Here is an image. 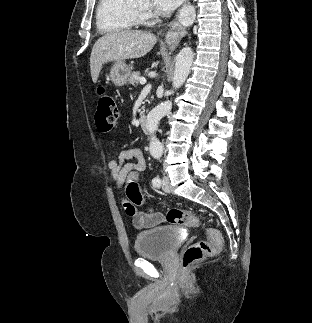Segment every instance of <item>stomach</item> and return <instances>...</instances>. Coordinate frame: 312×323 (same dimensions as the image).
I'll return each mask as SVG.
<instances>
[{
    "label": "stomach",
    "mask_w": 312,
    "mask_h": 323,
    "mask_svg": "<svg viewBox=\"0 0 312 323\" xmlns=\"http://www.w3.org/2000/svg\"><path fill=\"white\" fill-rule=\"evenodd\" d=\"M130 68L124 62H115L110 70V78L115 86H124L130 76Z\"/></svg>",
    "instance_id": "obj_1"
}]
</instances>
